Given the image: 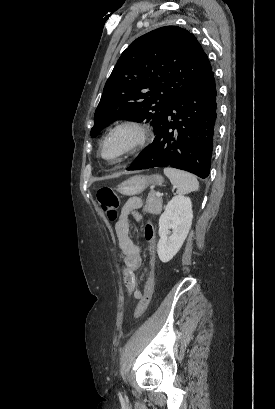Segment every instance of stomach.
I'll return each mask as SVG.
<instances>
[{
  "mask_svg": "<svg viewBox=\"0 0 275 409\" xmlns=\"http://www.w3.org/2000/svg\"><path fill=\"white\" fill-rule=\"evenodd\" d=\"M163 176L160 174H152V176H143V174H136V176H130L127 180H123L121 184H118L117 190L121 194H127V196H133V194H140L148 184H162Z\"/></svg>",
  "mask_w": 275,
  "mask_h": 409,
  "instance_id": "0dacf381",
  "label": "stomach"
}]
</instances>
